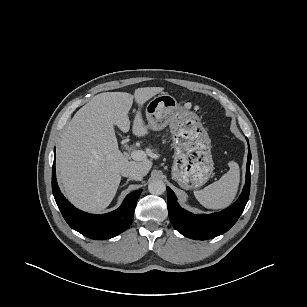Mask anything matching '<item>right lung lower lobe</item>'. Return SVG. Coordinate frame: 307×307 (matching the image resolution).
Segmentation results:
<instances>
[{"instance_id":"obj_1","label":"right lung lower lobe","mask_w":307,"mask_h":307,"mask_svg":"<svg viewBox=\"0 0 307 307\" xmlns=\"http://www.w3.org/2000/svg\"><path fill=\"white\" fill-rule=\"evenodd\" d=\"M53 164L52 190L54 198L64 219L72 229L88 238L105 240L117 236L131 225L136 202L142 190L128 194L122 205L115 211L103 215L88 214L76 209L63 196L56 180L55 159Z\"/></svg>"}]
</instances>
